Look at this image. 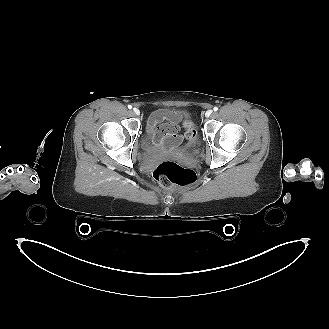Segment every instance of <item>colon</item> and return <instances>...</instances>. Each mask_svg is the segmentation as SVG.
Wrapping results in <instances>:
<instances>
[{
  "label": "colon",
  "instance_id": "colon-1",
  "mask_svg": "<svg viewBox=\"0 0 329 329\" xmlns=\"http://www.w3.org/2000/svg\"><path fill=\"white\" fill-rule=\"evenodd\" d=\"M194 124L195 119L193 117H188L183 122L186 136L191 140L198 138V132L195 130ZM153 176L161 184L172 187H189L197 182V175L193 170L184 168L172 161L160 163L155 168Z\"/></svg>",
  "mask_w": 329,
  "mask_h": 329
}]
</instances>
